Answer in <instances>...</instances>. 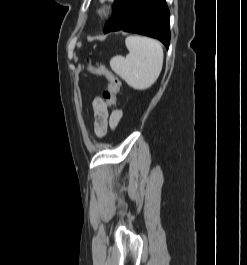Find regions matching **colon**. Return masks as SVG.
<instances>
[{"label": "colon", "mask_w": 247, "mask_h": 265, "mask_svg": "<svg viewBox=\"0 0 247 265\" xmlns=\"http://www.w3.org/2000/svg\"><path fill=\"white\" fill-rule=\"evenodd\" d=\"M88 68L91 73L101 76L107 81V89L103 92L102 97L107 106L114 105L121 85L119 79L101 64H93L88 61Z\"/></svg>", "instance_id": "colon-1"}]
</instances>
